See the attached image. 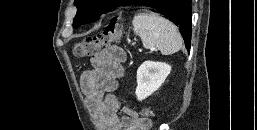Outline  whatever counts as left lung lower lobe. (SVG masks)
<instances>
[{"mask_svg":"<svg viewBox=\"0 0 257 130\" xmlns=\"http://www.w3.org/2000/svg\"><path fill=\"white\" fill-rule=\"evenodd\" d=\"M135 4L147 6L164 15L182 34L187 50L191 46V0H139Z\"/></svg>","mask_w":257,"mask_h":130,"instance_id":"1","label":"left lung lower lobe"}]
</instances>
